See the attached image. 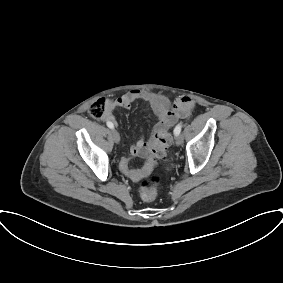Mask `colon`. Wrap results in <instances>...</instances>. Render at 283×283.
Segmentation results:
<instances>
[{
	"mask_svg": "<svg viewBox=\"0 0 283 283\" xmlns=\"http://www.w3.org/2000/svg\"><path fill=\"white\" fill-rule=\"evenodd\" d=\"M177 108L182 111L185 105H179ZM107 111L106 104L103 100H97L89 107V114L95 119H102ZM171 123L164 125L155 135V139L151 145L150 162L157 163L166 154L167 148L171 143V135L169 128ZM159 194V182L155 177L145 179L139 187V195L144 201H154Z\"/></svg>",
	"mask_w": 283,
	"mask_h": 283,
	"instance_id": "5ec220e1",
	"label": "colon"
}]
</instances>
